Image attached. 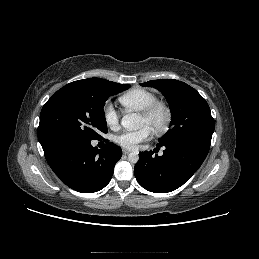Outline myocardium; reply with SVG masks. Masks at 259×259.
Returning <instances> with one entry per match:
<instances>
[{
  "instance_id": "f54148a6",
  "label": "myocardium",
  "mask_w": 259,
  "mask_h": 259,
  "mask_svg": "<svg viewBox=\"0 0 259 259\" xmlns=\"http://www.w3.org/2000/svg\"><path fill=\"white\" fill-rule=\"evenodd\" d=\"M159 110L163 112V120L158 126L152 129L157 135L164 133L171 123L172 111L169 105L162 100H155L140 111L141 116L145 119H150Z\"/></svg>"
}]
</instances>
